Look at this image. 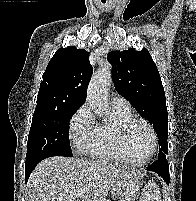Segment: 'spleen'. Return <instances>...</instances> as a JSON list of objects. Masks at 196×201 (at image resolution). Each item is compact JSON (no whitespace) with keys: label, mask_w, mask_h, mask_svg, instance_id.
<instances>
[{"label":"spleen","mask_w":196,"mask_h":201,"mask_svg":"<svg viewBox=\"0 0 196 201\" xmlns=\"http://www.w3.org/2000/svg\"><path fill=\"white\" fill-rule=\"evenodd\" d=\"M140 201H162L159 188L155 182H148L144 188Z\"/></svg>","instance_id":"spleen-1"}]
</instances>
